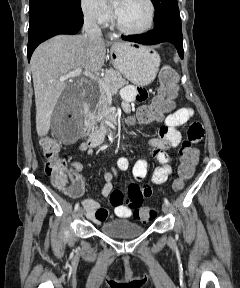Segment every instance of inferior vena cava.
<instances>
[{"instance_id": "inferior-vena-cava-1", "label": "inferior vena cava", "mask_w": 240, "mask_h": 288, "mask_svg": "<svg viewBox=\"0 0 240 288\" xmlns=\"http://www.w3.org/2000/svg\"><path fill=\"white\" fill-rule=\"evenodd\" d=\"M83 29L85 31V35L90 39L101 38L102 33L101 29L96 22V17L92 13H87L84 17Z\"/></svg>"}]
</instances>
